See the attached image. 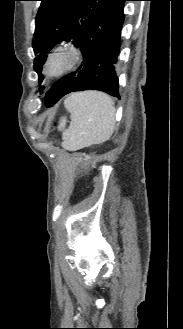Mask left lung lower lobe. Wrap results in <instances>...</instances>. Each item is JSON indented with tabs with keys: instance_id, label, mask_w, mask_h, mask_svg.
Wrapping results in <instances>:
<instances>
[{
	"instance_id": "left-lung-lower-lobe-1",
	"label": "left lung lower lobe",
	"mask_w": 183,
	"mask_h": 329,
	"mask_svg": "<svg viewBox=\"0 0 183 329\" xmlns=\"http://www.w3.org/2000/svg\"><path fill=\"white\" fill-rule=\"evenodd\" d=\"M117 0L104 10L89 26L79 48L83 54L80 67L60 78L45 95L46 106H53L64 95L87 89L106 92L120 97L117 77L121 30L125 15L124 3Z\"/></svg>"
}]
</instances>
